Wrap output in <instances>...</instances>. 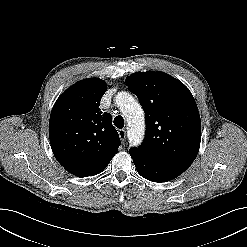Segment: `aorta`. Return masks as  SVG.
<instances>
[{"label": "aorta", "instance_id": "obj_1", "mask_svg": "<svg viewBox=\"0 0 247 247\" xmlns=\"http://www.w3.org/2000/svg\"><path fill=\"white\" fill-rule=\"evenodd\" d=\"M116 102L128 122V138L132 146L141 144L145 133L144 113L140 104L127 92H120Z\"/></svg>", "mask_w": 247, "mask_h": 247}]
</instances>
